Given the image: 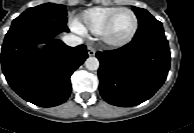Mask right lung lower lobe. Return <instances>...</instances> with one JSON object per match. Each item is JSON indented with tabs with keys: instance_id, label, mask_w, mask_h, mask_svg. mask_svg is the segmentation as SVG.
Segmentation results:
<instances>
[{
	"instance_id": "right-lung-lower-lobe-1",
	"label": "right lung lower lobe",
	"mask_w": 194,
	"mask_h": 133,
	"mask_svg": "<svg viewBox=\"0 0 194 133\" xmlns=\"http://www.w3.org/2000/svg\"><path fill=\"white\" fill-rule=\"evenodd\" d=\"M68 31L56 20L24 21L12 25L2 45V70L11 88L41 107L64 103L71 92L70 76L88 57L86 46L69 47L54 37ZM46 43L44 51L36 48Z\"/></svg>"
}]
</instances>
